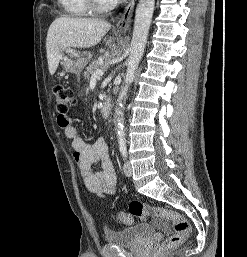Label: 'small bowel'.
<instances>
[{
	"label": "small bowel",
	"instance_id": "obj_1",
	"mask_svg": "<svg viewBox=\"0 0 247 257\" xmlns=\"http://www.w3.org/2000/svg\"><path fill=\"white\" fill-rule=\"evenodd\" d=\"M64 124L62 117L58 116V125L64 130L65 136L71 140L74 150L73 156L85 187L93 194L103 197L112 195L117 190V177L109 158L108 144L104 138L94 143H86L77 132L74 125ZM98 163L99 169L92 170L93 164Z\"/></svg>",
	"mask_w": 247,
	"mask_h": 257
}]
</instances>
